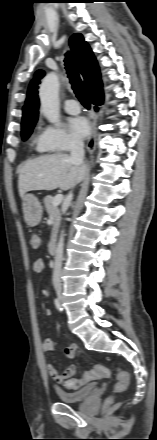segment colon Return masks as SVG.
<instances>
[{
    "instance_id": "obj_1",
    "label": "colon",
    "mask_w": 157,
    "mask_h": 440,
    "mask_svg": "<svg viewBox=\"0 0 157 440\" xmlns=\"http://www.w3.org/2000/svg\"><path fill=\"white\" fill-rule=\"evenodd\" d=\"M30 246L33 249H39L41 245V239L37 234H32L30 236ZM33 267L36 269H43L44 262L41 259H38L34 262ZM110 375V371L107 367L96 364L91 369L85 371L83 375L79 378L69 377L63 382V386L67 389H77L84 383L95 379V378H106ZM129 384V374L123 370L119 369L117 371V381L113 389L114 395L120 394L124 392ZM112 398H109L106 402H111Z\"/></svg>"
}]
</instances>
